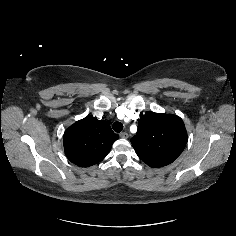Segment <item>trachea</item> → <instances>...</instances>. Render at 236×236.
Listing matches in <instances>:
<instances>
[{"instance_id":"3493384b","label":"trachea","mask_w":236,"mask_h":236,"mask_svg":"<svg viewBox=\"0 0 236 236\" xmlns=\"http://www.w3.org/2000/svg\"><path fill=\"white\" fill-rule=\"evenodd\" d=\"M112 127H113V130L117 133L123 130V124L121 122H114Z\"/></svg>"}]
</instances>
